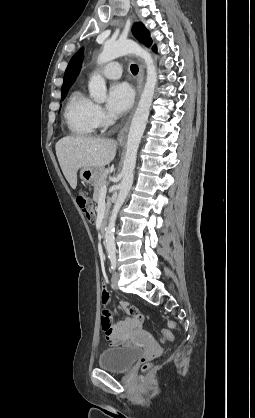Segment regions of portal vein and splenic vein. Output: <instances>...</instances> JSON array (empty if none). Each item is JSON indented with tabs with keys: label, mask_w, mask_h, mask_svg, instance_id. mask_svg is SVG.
Masks as SVG:
<instances>
[{
	"label": "portal vein and splenic vein",
	"mask_w": 255,
	"mask_h": 418,
	"mask_svg": "<svg viewBox=\"0 0 255 418\" xmlns=\"http://www.w3.org/2000/svg\"><path fill=\"white\" fill-rule=\"evenodd\" d=\"M100 193L103 194V195H105L107 193V186L106 185L101 187Z\"/></svg>",
	"instance_id": "portal-vein-and-splenic-vein-1"
}]
</instances>
